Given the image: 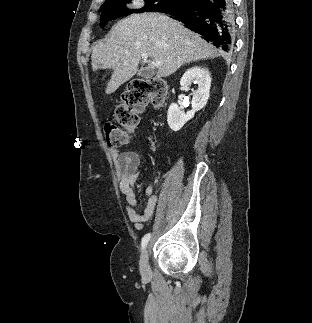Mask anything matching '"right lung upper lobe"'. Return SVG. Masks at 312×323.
I'll return each instance as SVG.
<instances>
[{"label":"right lung upper lobe","instance_id":"right-lung-upper-lobe-1","mask_svg":"<svg viewBox=\"0 0 312 323\" xmlns=\"http://www.w3.org/2000/svg\"><path fill=\"white\" fill-rule=\"evenodd\" d=\"M112 1H114V0H105V3L104 4H106V3H110V2H112ZM164 10V9H163ZM162 10H160L159 12H161ZM233 14H234V9H233Z\"/></svg>","mask_w":312,"mask_h":323}]
</instances>
